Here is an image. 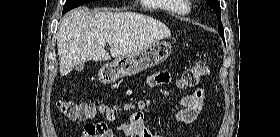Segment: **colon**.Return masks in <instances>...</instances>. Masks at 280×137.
Listing matches in <instances>:
<instances>
[{"instance_id": "5ec220e1", "label": "colon", "mask_w": 280, "mask_h": 137, "mask_svg": "<svg viewBox=\"0 0 280 137\" xmlns=\"http://www.w3.org/2000/svg\"><path fill=\"white\" fill-rule=\"evenodd\" d=\"M209 74V67L206 63H198L185 69L178 80V87L182 89L195 88L200 81ZM58 107L62 114L71 119L84 121L94 117L103 107H97L93 102H77L72 100H62L58 102ZM125 136L130 137V134Z\"/></svg>"}]
</instances>
